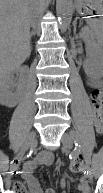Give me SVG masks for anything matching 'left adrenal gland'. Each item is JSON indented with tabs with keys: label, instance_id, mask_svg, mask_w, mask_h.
<instances>
[{
	"label": "left adrenal gland",
	"instance_id": "left-adrenal-gland-1",
	"mask_svg": "<svg viewBox=\"0 0 103 193\" xmlns=\"http://www.w3.org/2000/svg\"><path fill=\"white\" fill-rule=\"evenodd\" d=\"M74 33H76V21L74 22Z\"/></svg>",
	"mask_w": 103,
	"mask_h": 193
}]
</instances>
